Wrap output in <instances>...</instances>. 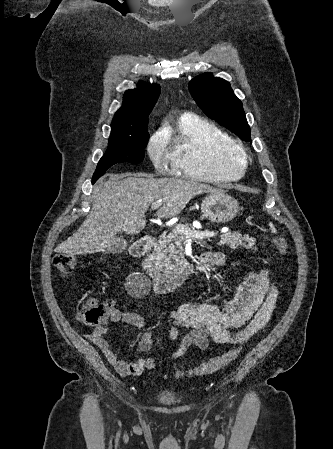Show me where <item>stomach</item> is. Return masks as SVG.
Returning a JSON list of instances; mask_svg holds the SVG:
<instances>
[{
    "label": "stomach",
    "mask_w": 333,
    "mask_h": 449,
    "mask_svg": "<svg viewBox=\"0 0 333 449\" xmlns=\"http://www.w3.org/2000/svg\"><path fill=\"white\" fill-rule=\"evenodd\" d=\"M202 214L212 222L227 223L239 212V203L224 191L210 193L201 204Z\"/></svg>",
    "instance_id": "obj_1"
}]
</instances>
